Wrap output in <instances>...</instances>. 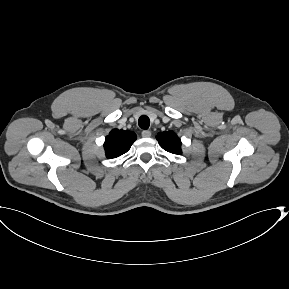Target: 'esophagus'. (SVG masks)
Wrapping results in <instances>:
<instances>
[{
	"instance_id": "obj_1",
	"label": "esophagus",
	"mask_w": 289,
	"mask_h": 289,
	"mask_svg": "<svg viewBox=\"0 0 289 289\" xmlns=\"http://www.w3.org/2000/svg\"><path fill=\"white\" fill-rule=\"evenodd\" d=\"M142 137L144 138H148L151 136V131L149 130H143L142 133H141Z\"/></svg>"
}]
</instances>
